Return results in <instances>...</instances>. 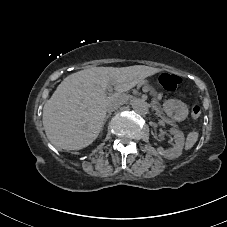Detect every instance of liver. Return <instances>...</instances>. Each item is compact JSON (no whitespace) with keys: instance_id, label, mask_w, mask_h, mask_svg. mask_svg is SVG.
Here are the masks:
<instances>
[{"instance_id":"obj_1","label":"liver","mask_w":227,"mask_h":227,"mask_svg":"<svg viewBox=\"0 0 227 227\" xmlns=\"http://www.w3.org/2000/svg\"><path fill=\"white\" fill-rule=\"evenodd\" d=\"M159 71L143 65L94 67L67 76L43 107L42 121L48 140L65 150L87 147L103 126L107 85L114 84L123 92ZM120 85L124 88L120 89Z\"/></svg>"}]
</instances>
